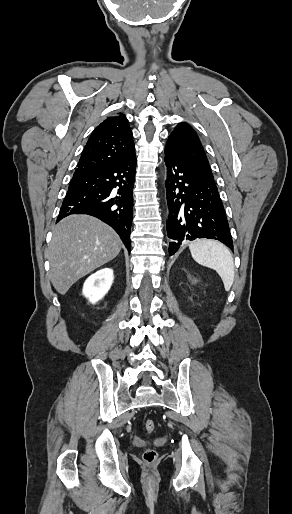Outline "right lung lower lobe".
I'll return each instance as SVG.
<instances>
[{
    "instance_id": "obj_1",
    "label": "right lung lower lobe",
    "mask_w": 292,
    "mask_h": 514,
    "mask_svg": "<svg viewBox=\"0 0 292 514\" xmlns=\"http://www.w3.org/2000/svg\"><path fill=\"white\" fill-rule=\"evenodd\" d=\"M135 172V155L103 168L76 169L57 222L71 214L97 217L119 234L129 251Z\"/></svg>"
}]
</instances>
